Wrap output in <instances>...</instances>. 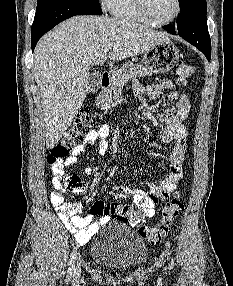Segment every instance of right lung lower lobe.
<instances>
[{
  "label": "right lung lower lobe",
  "instance_id": "1",
  "mask_svg": "<svg viewBox=\"0 0 233 286\" xmlns=\"http://www.w3.org/2000/svg\"><path fill=\"white\" fill-rule=\"evenodd\" d=\"M75 15H98L88 8L73 2L60 0L50 4L39 14H35L31 29V47L34 50L38 40L50 29L65 19Z\"/></svg>",
  "mask_w": 233,
  "mask_h": 286
}]
</instances>
